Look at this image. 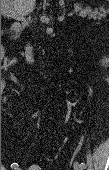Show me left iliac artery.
<instances>
[{
    "mask_svg": "<svg viewBox=\"0 0 109 170\" xmlns=\"http://www.w3.org/2000/svg\"><path fill=\"white\" fill-rule=\"evenodd\" d=\"M81 165H82L84 168L86 167V164H85V163H83V162L81 163Z\"/></svg>",
    "mask_w": 109,
    "mask_h": 170,
    "instance_id": "left-iliac-artery-1",
    "label": "left iliac artery"
}]
</instances>
